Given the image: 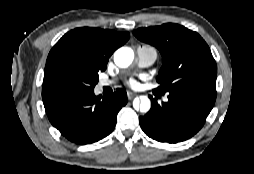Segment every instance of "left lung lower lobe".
<instances>
[{
	"label": "left lung lower lobe",
	"instance_id": "left-lung-lower-lobe-1",
	"mask_svg": "<svg viewBox=\"0 0 254 174\" xmlns=\"http://www.w3.org/2000/svg\"><path fill=\"white\" fill-rule=\"evenodd\" d=\"M150 111L139 118L142 130L159 142L177 143L191 138L204 125L215 99L195 92L174 91L168 102L151 99Z\"/></svg>",
	"mask_w": 254,
	"mask_h": 174
}]
</instances>
